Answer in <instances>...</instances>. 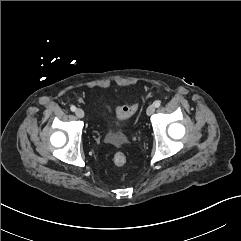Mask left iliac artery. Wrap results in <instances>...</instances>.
I'll return each mask as SVG.
<instances>
[{
    "instance_id": "left-iliac-artery-1",
    "label": "left iliac artery",
    "mask_w": 241,
    "mask_h": 241,
    "mask_svg": "<svg viewBox=\"0 0 241 241\" xmlns=\"http://www.w3.org/2000/svg\"><path fill=\"white\" fill-rule=\"evenodd\" d=\"M161 105V102L159 100L154 102V106L158 108Z\"/></svg>"
}]
</instances>
